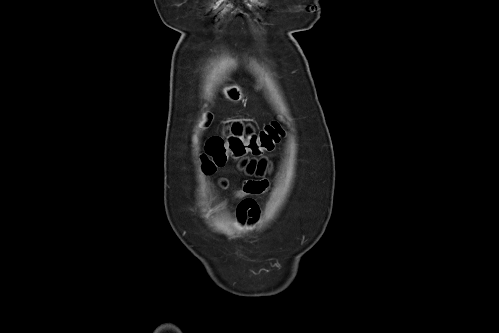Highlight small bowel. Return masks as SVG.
<instances>
[{
	"label": "small bowel",
	"mask_w": 499,
	"mask_h": 333,
	"mask_svg": "<svg viewBox=\"0 0 499 333\" xmlns=\"http://www.w3.org/2000/svg\"><path fill=\"white\" fill-rule=\"evenodd\" d=\"M252 132H246L241 126L236 125L232 128L230 135H250ZM229 135V136H230ZM264 163L252 162L249 165V170H255L257 168L258 172H262ZM268 188V182L266 180H248L245 182L243 187L236 192V196L241 199L240 204L237 207V219L240 223H245L248 221H255L259 216V211L256 202L251 196L259 195L264 193Z\"/></svg>",
	"instance_id": "small-bowel-1"
}]
</instances>
